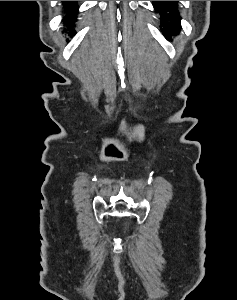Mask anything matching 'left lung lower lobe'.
Here are the masks:
<instances>
[{
    "instance_id": "1",
    "label": "left lung lower lobe",
    "mask_w": 237,
    "mask_h": 300,
    "mask_svg": "<svg viewBox=\"0 0 237 300\" xmlns=\"http://www.w3.org/2000/svg\"><path fill=\"white\" fill-rule=\"evenodd\" d=\"M154 4H155V2L153 3V6H154ZM178 32H179V30L176 31L175 34H177ZM170 35H171V34H164V36L167 37V38H169Z\"/></svg>"
}]
</instances>
